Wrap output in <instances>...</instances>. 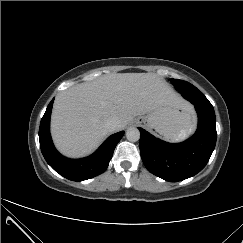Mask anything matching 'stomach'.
I'll list each match as a JSON object with an SVG mask.
<instances>
[{"label":"stomach","mask_w":243,"mask_h":243,"mask_svg":"<svg viewBox=\"0 0 243 243\" xmlns=\"http://www.w3.org/2000/svg\"><path fill=\"white\" fill-rule=\"evenodd\" d=\"M137 121L150 129H155L167 140H180L189 135L195 125V115L190 109L171 105L160 106Z\"/></svg>","instance_id":"0dacf381"}]
</instances>
